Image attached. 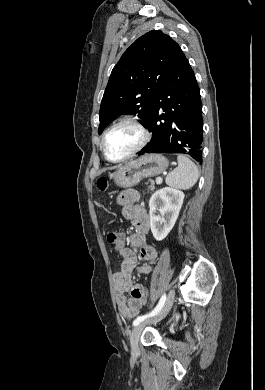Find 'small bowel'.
<instances>
[{"mask_svg": "<svg viewBox=\"0 0 265 390\" xmlns=\"http://www.w3.org/2000/svg\"><path fill=\"white\" fill-rule=\"evenodd\" d=\"M137 198L138 195L133 190L122 192L118 198L119 204L123 206L124 217L132 221L135 229L128 237L123 232H117L118 241L115 246L121 257V269L113 275L116 301L120 314L127 319L138 315L142 306L140 293L146 291L143 285L134 283L133 273H149L158 257L156 248L147 242L150 218L145 208L136 203ZM127 242L138 249L139 257L144 262L141 266L137 265L136 256L126 246ZM127 293H130L129 297Z\"/></svg>", "mask_w": 265, "mask_h": 390, "instance_id": "c3829d8e", "label": "small bowel"}]
</instances>
